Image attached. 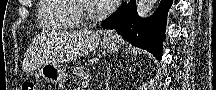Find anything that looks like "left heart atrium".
I'll use <instances>...</instances> for the list:
<instances>
[{"instance_id":"obj_1","label":"left heart atrium","mask_w":216,"mask_h":90,"mask_svg":"<svg viewBox=\"0 0 216 90\" xmlns=\"http://www.w3.org/2000/svg\"><path fill=\"white\" fill-rule=\"evenodd\" d=\"M97 3H101L104 10H113L114 7H119L123 0H97Z\"/></svg>"}]
</instances>
